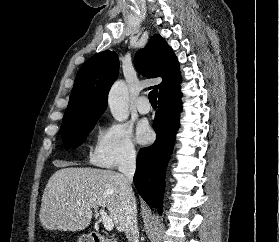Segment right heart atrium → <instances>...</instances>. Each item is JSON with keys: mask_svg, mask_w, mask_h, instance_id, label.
<instances>
[{"mask_svg": "<svg viewBox=\"0 0 279 242\" xmlns=\"http://www.w3.org/2000/svg\"><path fill=\"white\" fill-rule=\"evenodd\" d=\"M137 149L132 132L122 123H109L97 136L90 162L104 168H116L135 160Z\"/></svg>", "mask_w": 279, "mask_h": 242, "instance_id": "d8ad5b80", "label": "right heart atrium"}]
</instances>
